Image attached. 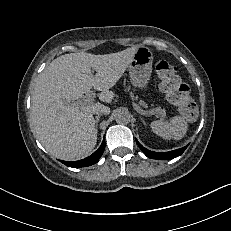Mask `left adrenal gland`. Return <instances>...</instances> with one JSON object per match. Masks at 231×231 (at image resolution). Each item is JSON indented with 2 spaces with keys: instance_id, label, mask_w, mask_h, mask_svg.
Returning <instances> with one entry per match:
<instances>
[{
  "instance_id": "1",
  "label": "left adrenal gland",
  "mask_w": 231,
  "mask_h": 231,
  "mask_svg": "<svg viewBox=\"0 0 231 231\" xmlns=\"http://www.w3.org/2000/svg\"><path fill=\"white\" fill-rule=\"evenodd\" d=\"M140 119L142 120L143 124L146 125V122L144 121V118L140 117Z\"/></svg>"
}]
</instances>
